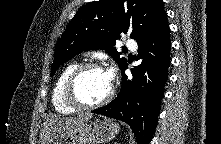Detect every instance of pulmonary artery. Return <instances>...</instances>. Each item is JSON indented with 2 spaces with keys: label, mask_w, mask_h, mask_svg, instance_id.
<instances>
[{
  "label": "pulmonary artery",
  "mask_w": 221,
  "mask_h": 144,
  "mask_svg": "<svg viewBox=\"0 0 221 144\" xmlns=\"http://www.w3.org/2000/svg\"><path fill=\"white\" fill-rule=\"evenodd\" d=\"M126 46L132 50H136V48H137V44H136L135 40H133V39H128L126 41Z\"/></svg>",
  "instance_id": "pulmonary-artery-1"
}]
</instances>
